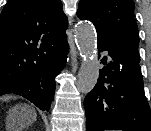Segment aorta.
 Returning <instances> with one entry per match:
<instances>
[{"mask_svg":"<svg viewBox=\"0 0 151 131\" xmlns=\"http://www.w3.org/2000/svg\"><path fill=\"white\" fill-rule=\"evenodd\" d=\"M76 44L82 57L78 73L77 88L80 92L89 93L99 77V61L96 55L97 34L93 25L82 21L76 28Z\"/></svg>","mask_w":151,"mask_h":131,"instance_id":"762f6f07","label":"aorta"}]
</instances>
